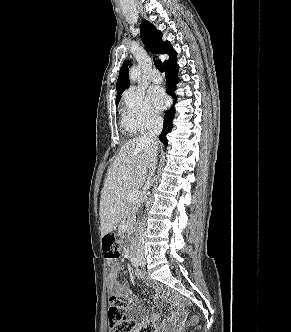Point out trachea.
I'll list each match as a JSON object with an SVG mask.
<instances>
[{
	"mask_svg": "<svg viewBox=\"0 0 291 332\" xmlns=\"http://www.w3.org/2000/svg\"><path fill=\"white\" fill-rule=\"evenodd\" d=\"M154 64L158 70H160L161 72H164V68H163L162 62L160 60H155Z\"/></svg>",
	"mask_w": 291,
	"mask_h": 332,
	"instance_id": "1",
	"label": "trachea"
}]
</instances>
